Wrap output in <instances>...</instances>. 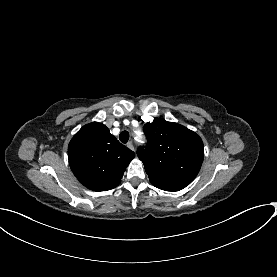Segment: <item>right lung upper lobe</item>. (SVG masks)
<instances>
[{"instance_id":"obj_1","label":"right lung upper lobe","mask_w":277,"mask_h":277,"mask_svg":"<svg viewBox=\"0 0 277 277\" xmlns=\"http://www.w3.org/2000/svg\"><path fill=\"white\" fill-rule=\"evenodd\" d=\"M134 157L133 151L97 122L83 126L68 147L72 172L81 184L93 191H107L118 186Z\"/></svg>"}]
</instances>
